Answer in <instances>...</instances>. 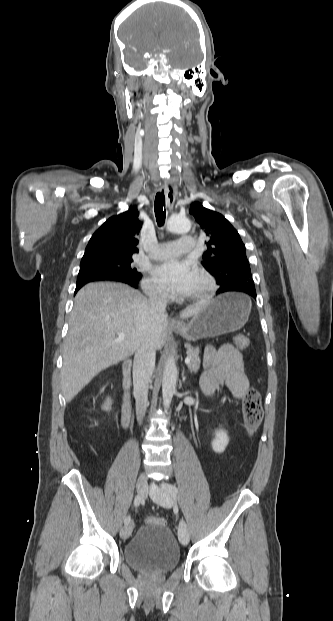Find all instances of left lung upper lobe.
Segmentation results:
<instances>
[{
	"label": "left lung upper lobe",
	"mask_w": 333,
	"mask_h": 621,
	"mask_svg": "<svg viewBox=\"0 0 333 621\" xmlns=\"http://www.w3.org/2000/svg\"><path fill=\"white\" fill-rule=\"evenodd\" d=\"M190 214L209 238L202 265L215 277L219 289L236 283L254 285L245 245L230 222L197 202L191 205Z\"/></svg>",
	"instance_id": "obj_1"
}]
</instances>
